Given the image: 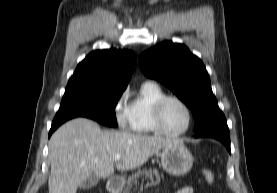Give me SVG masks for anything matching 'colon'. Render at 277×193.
Returning a JSON list of instances; mask_svg holds the SVG:
<instances>
[{
  "mask_svg": "<svg viewBox=\"0 0 277 193\" xmlns=\"http://www.w3.org/2000/svg\"><path fill=\"white\" fill-rule=\"evenodd\" d=\"M203 177H204L206 183H208V184H213L215 181V175L209 169L203 170Z\"/></svg>",
  "mask_w": 277,
  "mask_h": 193,
  "instance_id": "5ec220e1",
  "label": "colon"
}]
</instances>
